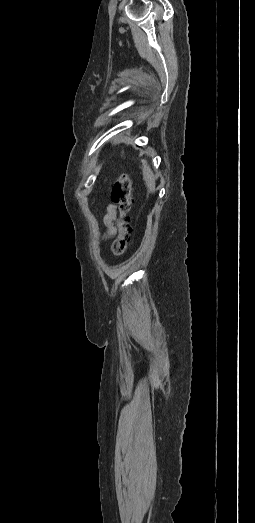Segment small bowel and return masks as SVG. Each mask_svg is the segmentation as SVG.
Wrapping results in <instances>:
<instances>
[{
    "mask_svg": "<svg viewBox=\"0 0 255 523\" xmlns=\"http://www.w3.org/2000/svg\"><path fill=\"white\" fill-rule=\"evenodd\" d=\"M116 218V207L112 204L107 205L106 213L103 217V223L107 228L106 236H112L116 232L114 220Z\"/></svg>",
    "mask_w": 255,
    "mask_h": 523,
    "instance_id": "c3829d8e",
    "label": "small bowel"
}]
</instances>
